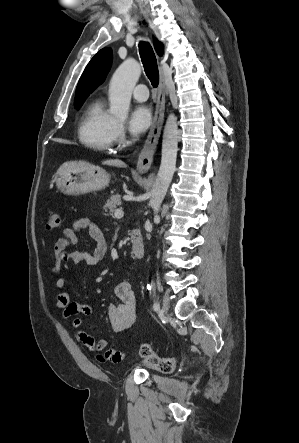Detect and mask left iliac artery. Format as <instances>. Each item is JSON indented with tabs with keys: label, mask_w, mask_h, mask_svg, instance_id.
<instances>
[{
	"label": "left iliac artery",
	"mask_w": 299,
	"mask_h": 443,
	"mask_svg": "<svg viewBox=\"0 0 299 443\" xmlns=\"http://www.w3.org/2000/svg\"><path fill=\"white\" fill-rule=\"evenodd\" d=\"M159 308H160L159 303H158V302L154 303V305H153V309H154V310H158Z\"/></svg>",
	"instance_id": "44dca946"
}]
</instances>
